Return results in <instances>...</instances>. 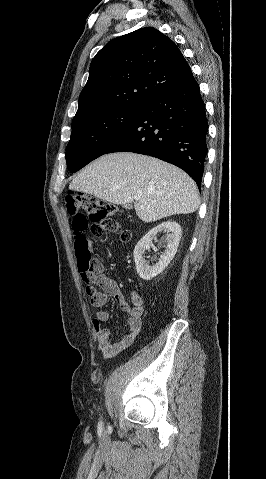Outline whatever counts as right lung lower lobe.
<instances>
[{
  "label": "right lung lower lobe",
  "instance_id": "right-lung-lower-lobe-1",
  "mask_svg": "<svg viewBox=\"0 0 266 479\" xmlns=\"http://www.w3.org/2000/svg\"><path fill=\"white\" fill-rule=\"evenodd\" d=\"M205 104L194 77L153 98L106 149L159 158L187 172L201 189L207 154Z\"/></svg>",
  "mask_w": 266,
  "mask_h": 479
}]
</instances>
